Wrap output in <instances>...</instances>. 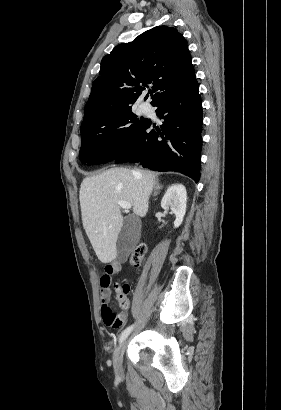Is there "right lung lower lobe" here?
I'll list each match as a JSON object with an SVG mask.
<instances>
[{
    "instance_id": "1",
    "label": "right lung lower lobe",
    "mask_w": 281,
    "mask_h": 410,
    "mask_svg": "<svg viewBox=\"0 0 281 410\" xmlns=\"http://www.w3.org/2000/svg\"><path fill=\"white\" fill-rule=\"evenodd\" d=\"M152 105L157 107L163 124L150 131L152 123L148 120L115 163L136 162L155 171H177L198 183L203 113L197 80Z\"/></svg>"
}]
</instances>
